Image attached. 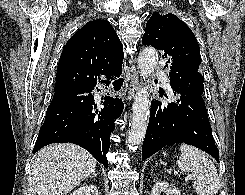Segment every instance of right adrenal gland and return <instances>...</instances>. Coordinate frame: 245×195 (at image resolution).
I'll list each match as a JSON object with an SVG mask.
<instances>
[{
	"label": "right adrenal gland",
	"instance_id": "1",
	"mask_svg": "<svg viewBox=\"0 0 245 195\" xmlns=\"http://www.w3.org/2000/svg\"><path fill=\"white\" fill-rule=\"evenodd\" d=\"M96 176H97V174L95 172H93L90 177H96Z\"/></svg>",
	"mask_w": 245,
	"mask_h": 195
}]
</instances>
